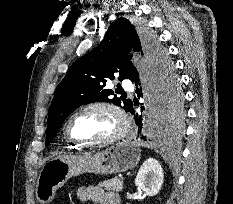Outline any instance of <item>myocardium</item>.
I'll return each mask as SVG.
<instances>
[{"instance_id":"1","label":"myocardium","mask_w":233,"mask_h":204,"mask_svg":"<svg viewBox=\"0 0 233 204\" xmlns=\"http://www.w3.org/2000/svg\"><path fill=\"white\" fill-rule=\"evenodd\" d=\"M93 109H103L113 113L119 122L118 130L110 137L97 141L85 140L74 137L70 131V125L73 119L79 114ZM129 129H130V119L127 113L118 104L111 101H94L78 107L69 115V117L65 122L64 133L68 140L73 141L77 144L83 146H90V147H103V146L112 145L117 141L121 140L122 138H124L129 132Z\"/></svg>"}]
</instances>
